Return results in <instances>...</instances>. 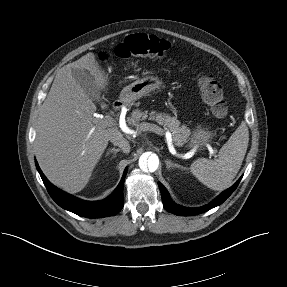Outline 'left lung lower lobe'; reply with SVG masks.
Masks as SVG:
<instances>
[{
  "label": "left lung lower lobe",
  "mask_w": 287,
  "mask_h": 287,
  "mask_svg": "<svg viewBox=\"0 0 287 287\" xmlns=\"http://www.w3.org/2000/svg\"><path fill=\"white\" fill-rule=\"evenodd\" d=\"M241 178L233 186H231L229 189L223 191L212 202H210L209 204L204 205L202 207H198V208H188V207H183V206L175 204L170 199L169 194H168L167 190L165 189V187L159 182L163 206L167 211H169L173 214L179 215V216H192V215L204 213V212L222 204L233 193V191L237 188Z\"/></svg>",
  "instance_id": "0a47b994"
}]
</instances>
